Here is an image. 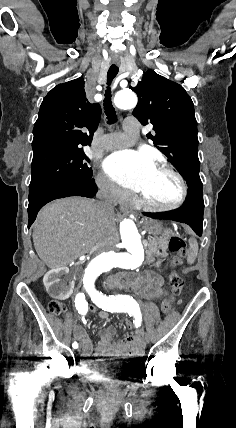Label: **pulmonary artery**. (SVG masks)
<instances>
[{
    "mask_svg": "<svg viewBox=\"0 0 236 428\" xmlns=\"http://www.w3.org/2000/svg\"><path fill=\"white\" fill-rule=\"evenodd\" d=\"M126 134L124 132H117L114 133L113 136H125ZM129 142H127L126 144H116V143H107L104 147L107 150H113V149H117V148H123V147H127L129 146Z\"/></svg>",
    "mask_w": 236,
    "mask_h": 428,
    "instance_id": "e3ab8cb5",
    "label": "pulmonary artery"
}]
</instances>
